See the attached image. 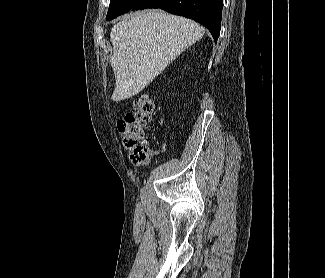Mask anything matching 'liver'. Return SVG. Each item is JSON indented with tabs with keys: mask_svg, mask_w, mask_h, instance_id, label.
<instances>
[{
	"mask_svg": "<svg viewBox=\"0 0 325 278\" xmlns=\"http://www.w3.org/2000/svg\"><path fill=\"white\" fill-rule=\"evenodd\" d=\"M204 34L205 29L195 21L159 10L125 16L110 32L116 81L111 99L137 95Z\"/></svg>",
	"mask_w": 325,
	"mask_h": 278,
	"instance_id": "obj_1",
	"label": "liver"
}]
</instances>
